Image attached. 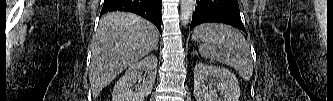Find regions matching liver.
I'll use <instances>...</instances> for the list:
<instances>
[{
  "instance_id": "6515ba94",
  "label": "liver",
  "mask_w": 333,
  "mask_h": 101,
  "mask_svg": "<svg viewBox=\"0 0 333 101\" xmlns=\"http://www.w3.org/2000/svg\"><path fill=\"white\" fill-rule=\"evenodd\" d=\"M158 41L156 27L140 16L127 12L104 15L92 44L89 66L93 98L128 66L150 53Z\"/></svg>"
}]
</instances>
